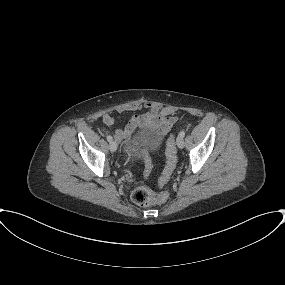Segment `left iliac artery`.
I'll return each mask as SVG.
<instances>
[{
  "instance_id": "obj_1",
  "label": "left iliac artery",
  "mask_w": 285,
  "mask_h": 285,
  "mask_svg": "<svg viewBox=\"0 0 285 285\" xmlns=\"http://www.w3.org/2000/svg\"><path fill=\"white\" fill-rule=\"evenodd\" d=\"M179 135L181 136V137H184L185 136V131H181L180 133H179Z\"/></svg>"
}]
</instances>
